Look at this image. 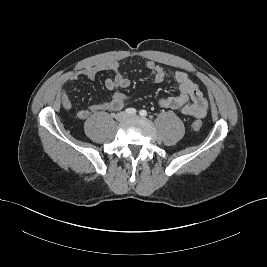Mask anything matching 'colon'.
Instances as JSON below:
<instances>
[{
  "label": "colon",
  "mask_w": 267,
  "mask_h": 267,
  "mask_svg": "<svg viewBox=\"0 0 267 267\" xmlns=\"http://www.w3.org/2000/svg\"><path fill=\"white\" fill-rule=\"evenodd\" d=\"M202 127V122L200 120H195L193 123H192V128L194 131H199Z\"/></svg>",
  "instance_id": "1"
}]
</instances>
